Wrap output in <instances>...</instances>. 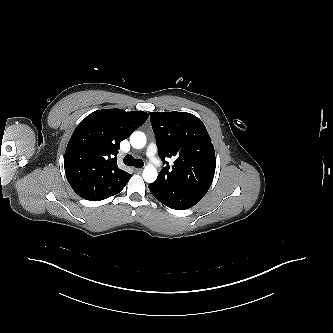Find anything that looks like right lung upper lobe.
Wrapping results in <instances>:
<instances>
[{
    "mask_svg": "<svg viewBox=\"0 0 333 333\" xmlns=\"http://www.w3.org/2000/svg\"><path fill=\"white\" fill-rule=\"evenodd\" d=\"M148 116L143 111L105 109L79 123L68 142L64 168L69 184L80 197L101 201L124 188L131 175L117 166L120 142Z\"/></svg>",
    "mask_w": 333,
    "mask_h": 333,
    "instance_id": "right-lung-upper-lobe-1",
    "label": "right lung upper lobe"
}]
</instances>
